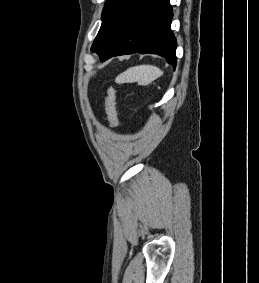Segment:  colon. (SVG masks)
<instances>
[{
  "label": "colon",
  "mask_w": 259,
  "mask_h": 283,
  "mask_svg": "<svg viewBox=\"0 0 259 283\" xmlns=\"http://www.w3.org/2000/svg\"><path fill=\"white\" fill-rule=\"evenodd\" d=\"M105 111L108 125L114 127L117 123V93L111 86L106 90Z\"/></svg>",
  "instance_id": "obj_1"
}]
</instances>
